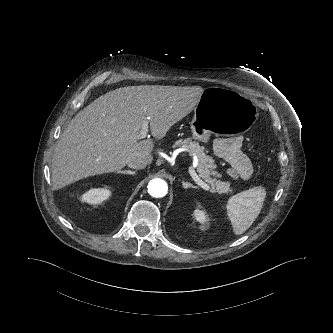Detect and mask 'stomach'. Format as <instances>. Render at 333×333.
<instances>
[{"mask_svg":"<svg viewBox=\"0 0 333 333\" xmlns=\"http://www.w3.org/2000/svg\"><path fill=\"white\" fill-rule=\"evenodd\" d=\"M256 110V106L244 95L225 89H207L190 122L192 138L208 143L212 134L225 136L244 132L257 117Z\"/></svg>","mask_w":333,"mask_h":333,"instance_id":"0dacf381","label":"stomach"}]
</instances>
